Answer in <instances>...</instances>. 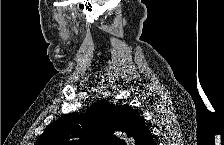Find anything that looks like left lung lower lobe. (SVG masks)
I'll list each match as a JSON object with an SVG mask.
<instances>
[{"label":"left lung lower lobe","instance_id":"1","mask_svg":"<svg viewBox=\"0 0 224 145\" xmlns=\"http://www.w3.org/2000/svg\"><path fill=\"white\" fill-rule=\"evenodd\" d=\"M132 134L131 136L134 138L136 145H154L155 142L153 140V136L145 125V121L138 114L136 115L133 126H132Z\"/></svg>","mask_w":224,"mask_h":145}]
</instances>
